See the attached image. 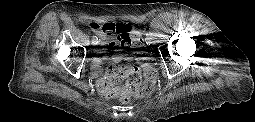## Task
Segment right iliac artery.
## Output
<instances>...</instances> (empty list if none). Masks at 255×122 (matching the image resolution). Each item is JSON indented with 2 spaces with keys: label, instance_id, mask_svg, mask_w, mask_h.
Wrapping results in <instances>:
<instances>
[{
  "label": "right iliac artery",
  "instance_id": "obj_1",
  "mask_svg": "<svg viewBox=\"0 0 255 122\" xmlns=\"http://www.w3.org/2000/svg\"><path fill=\"white\" fill-rule=\"evenodd\" d=\"M97 41H98L97 36L93 35V36H92V42H97Z\"/></svg>",
  "mask_w": 255,
  "mask_h": 122
}]
</instances>
